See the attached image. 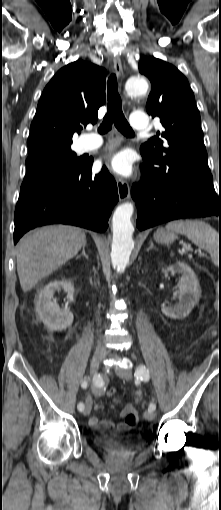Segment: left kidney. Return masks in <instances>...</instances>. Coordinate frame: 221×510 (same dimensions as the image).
Listing matches in <instances>:
<instances>
[{
	"instance_id": "obj_1",
	"label": "left kidney",
	"mask_w": 221,
	"mask_h": 510,
	"mask_svg": "<svg viewBox=\"0 0 221 510\" xmlns=\"http://www.w3.org/2000/svg\"><path fill=\"white\" fill-rule=\"evenodd\" d=\"M164 273L170 271L172 273H181L182 277L179 281V290L174 295L178 298L179 303L175 307L161 306L162 313L173 319H182L187 317L201 296L199 282L194 271L183 262H177L165 269Z\"/></svg>"
}]
</instances>
